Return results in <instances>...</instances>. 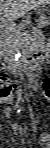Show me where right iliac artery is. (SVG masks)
<instances>
[{
  "label": "right iliac artery",
  "mask_w": 50,
  "mask_h": 148,
  "mask_svg": "<svg viewBox=\"0 0 50 148\" xmlns=\"http://www.w3.org/2000/svg\"><path fill=\"white\" fill-rule=\"evenodd\" d=\"M21 110L19 109V110H17V112L19 113Z\"/></svg>",
  "instance_id": "obj_1"
}]
</instances>
